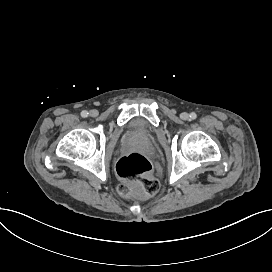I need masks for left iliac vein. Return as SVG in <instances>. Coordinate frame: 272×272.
I'll list each match as a JSON object with an SVG mask.
<instances>
[{"label":"left iliac vein","mask_w":272,"mask_h":272,"mask_svg":"<svg viewBox=\"0 0 272 272\" xmlns=\"http://www.w3.org/2000/svg\"><path fill=\"white\" fill-rule=\"evenodd\" d=\"M181 118H182L183 120H188V119H189L188 113L183 112V113L181 114Z\"/></svg>","instance_id":"obj_1"}]
</instances>
